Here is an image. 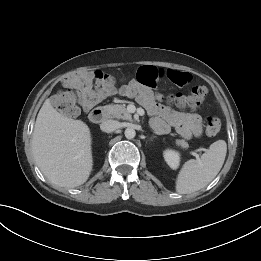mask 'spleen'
Wrapping results in <instances>:
<instances>
[{"label":"spleen","mask_w":261,"mask_h":261,"mask_svg":"<svg viewBox=\"0 0 261 261\" xmlns=\"http://www.w3.org/2000/svg\"><path fill=\"white\" fill-rule=\"evenodd\" d=\"M226 153V142L217 140L200 158L185 162L176 179V191L188 194L207 186L221 170Z\"/></svg>","instance_id":"3e777b00"}]
</instances>
